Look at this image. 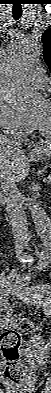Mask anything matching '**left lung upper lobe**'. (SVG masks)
<instances>
[{
	"instance_id": "left-lung-upper-lobe-1",
	"label": "left lung upper lobe",
	"mask_w": 51,
	"mask_h": 393,
	"mask_svg": "<svg viewBox=\"0 0 51 393\" xmlns=\"http://www.w3.org/2000/svg\"><path fill=\"white\" fill-rule=\"evenodd\" d=\"M44 60L51 71V28L47 29L42 36Z\"/></svg>"
}]
</instances>
